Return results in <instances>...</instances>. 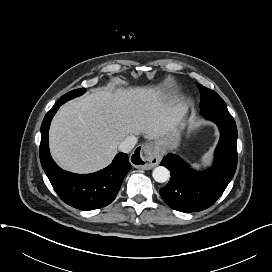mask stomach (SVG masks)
<instances>
[{
  "instance_id": "obj_1",
  "label": "stomach",
  "mask_w": 272,
  "mask_h": 272,
  "mask_svg": "<svg viewBox=\"0 0 272 272\" xmlns=\"http://www.w3.org/2000/svg\"><path fill=\"white\" fill-rule=\"evenodd\" d=\"M181 136L180 133L177 132H170L163 136L162 138H159L155 140L154 144L157 149L161 151L166 150H175L180 145Z\"/></svg>"
}]
</instances>
